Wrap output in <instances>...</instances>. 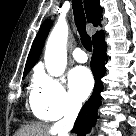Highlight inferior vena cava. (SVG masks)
Returning a JSON list of instances; mask_svg holds the SVG:
<instances>
[{"instance_id":"inferior-vena-cava-1","label":"inferior vena cava","mask_w":136,"mask_h":136,"mask_svg":"<svg viewBox=\"0 0 136 136\" xmlns=\"http://www.w3.org/2000/svg\"><path fill=\"white\" fill-rule=\"evenodd\" d=\"M80 109L81 105L78 103L68 105L64 118L58 121L53 127L57 131L58 136H69L68 132L73 128Z\"/></svg>"}]
</instances>
